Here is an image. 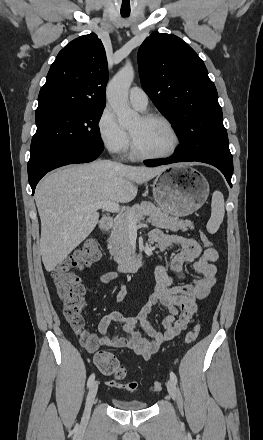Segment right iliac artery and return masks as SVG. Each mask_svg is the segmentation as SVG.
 <instances>
[{
    "label": "right iliac artery",
    "mask_w": 263,
    "mask_h": 440,
    "mask_svg": "<svg viewBox=\"0 0 263 440\" xmlns=\"http://www.w3.org/2000/svg\"><path fill=\"white\" fill-rule=\"evenodd\" d=\"M94 380H95V375L91 374L89 379H88V382H87V387H91V385L93 384Z\"/></svg>",
    "instance_id": "82829eb1"
}]
</instances>
